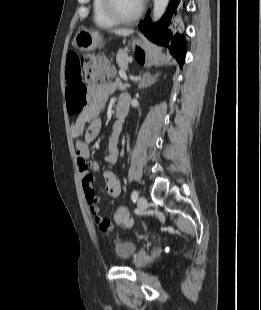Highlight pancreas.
Returning a JSON list of instances; mask_svg holds the SVG:
<instances>
[{"label": "pancreas", "instance_id": "obj_1", "mask_svg": "<svg viewBox=\"0 0 261 310\" xmlns=\"http://www.w3.org/2000/svg\"><path fill=\"white\" fill-rule=\"evenodd\" d=\"M116 61H117L118 66L121 69L126 70L127 66H128V62H129L127 52L125 50H119L117 53ZM123 87H125V86L122 85V88Z\"/></svg>", "mask_w": 261, "mask_h": 310}]
</instances>
